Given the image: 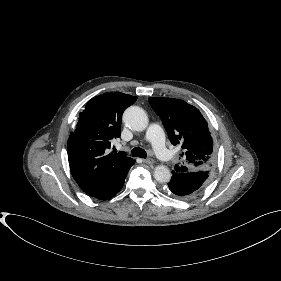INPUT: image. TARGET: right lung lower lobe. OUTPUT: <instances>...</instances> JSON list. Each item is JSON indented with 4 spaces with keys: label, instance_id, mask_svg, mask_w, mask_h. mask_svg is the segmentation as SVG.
Here are the masks:
<instances>
[{
    "label": "right lung lower lobe",
    "instance_id": "obj_1",
    "mask_svg": "<svg viewBox=\"0 0 281 281\" xmlns=\"http://www.w3.org/2000/svg\"><path fill=\"white\" fill-rule=\"evenodd\" d=\"M125 178L126 176L112 190H110L108 193L104 194L103 196L99 197V199L102 200L109 199L113 197L115 194H117L123 187Z\"/></svg>",
    "mask_w": 281,
    "mask_h": 281
}]
</instances>
